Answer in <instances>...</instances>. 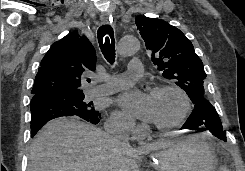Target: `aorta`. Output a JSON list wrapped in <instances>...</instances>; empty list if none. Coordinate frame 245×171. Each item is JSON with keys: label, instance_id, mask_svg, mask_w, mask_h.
<instances>
[{"label": "aorta", "instance_id": "obj_1", "mask_svg": "<svg viewBox=\"0 0 245 171\" xmlns=\"http://www.w3.org/2000/svg\"><path fill=\"white\" fill-rule=\"evenodd\" d=\"M140 48L139 40L134 36H126L119 40L117 46L118 55L128 57L136 54Z\"/></svg>", "mask_w": 245, "mask_h": 171}]
</instances>
